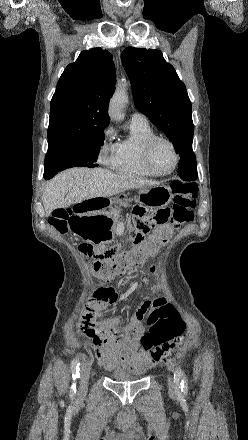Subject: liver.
<instances>
[{
    "label": "liver",
    "instance_id": "obj_1",
    "mask_svg": "<svg viewBox=\"0 0 248 440\" xmlns=\"http://www.w3.org/2000/svg\"><path fill=\"white\" fill-rule=\"evenodd\" d=\"M159 184L155 181L112 173L106 169L71 168L47 182L43 206L47 215L85 200L118 195L126 190Z\"/></svg>",
    "mask_w": 248,
    "mask_h": 440
}]
</instances>
